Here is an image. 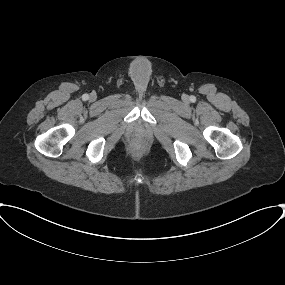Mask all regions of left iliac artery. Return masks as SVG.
Here are the masks:
<instances>
[{"label": "left iliac artery", "instance_id": "left-iliac-artery-1", "mask_svg": "<svg viewBox=\"0 0 285 285\" xmlns=\"http://www.w3.org/2000/svg\"><path fill=\"white\" fill-rule=\"evenodd\" d=\"M190 100H191L192 102H195V101H196V98H195L194 96H191V97H190Z\"/></svg>", "mask_w": 285, "mask_h": 285}]
</instances>
